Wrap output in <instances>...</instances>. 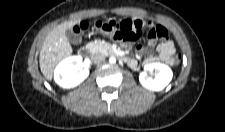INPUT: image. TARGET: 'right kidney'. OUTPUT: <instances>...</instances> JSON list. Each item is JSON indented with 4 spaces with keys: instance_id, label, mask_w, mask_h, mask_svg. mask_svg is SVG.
I'll use <instances>...</instances> for the list:
<instances>
[{
    "instance_id": "ca27d5eb",
    "label": "right kidney",
    "mask_w": 225,
    "mask_h": 132,
    "mask_svg": "<svg viewBox=\"0 0 225 132\" xmlns=\"http://www.w3.org/2000/svg\"><path fill=\"white\" fill-rule=\"evenodd\" d=\"M80 57H70L61 62L55 70L56 83L63 88H73L83 82L89 75L88 69L82 68Z\"/></svg>"
}]
</instances>
